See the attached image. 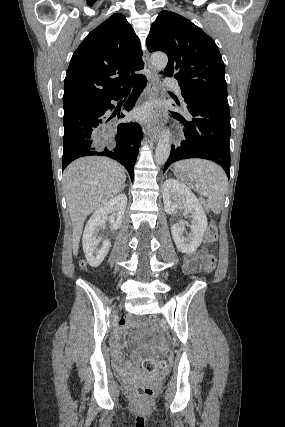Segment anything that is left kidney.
Segmentation results:
<instances>
[{
    "instance_id": "left-kidney-1",
    "label": "left kidney",
    "mask_w": 285,
    "mask_h": 427,
    "mask_svg": "<svg viewBox=\"0 0 285 427\" xmlns=\"http://www.w3.org/2000/svg\"><path fill=\"white\" fill-rule=\"evenodd\" d=\"M162 195L166 213L175 214L179 208H184L191 213L190 233L184 237V228L176 223L171 227V234L180 252H195L201 245L207 228V217L202 205L187 186L174 179H167L164 182Z\"/></svg>"
}]
</instances>
